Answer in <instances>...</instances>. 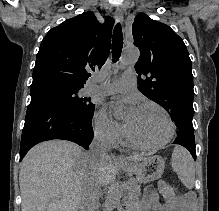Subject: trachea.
<instances>
[{
	"mask_svg": "<svg viewBox=\"0 0 219 211\" xmlns=\"http://www.w3.org/2000/svg\"><path fill=\"white\" fill-rule=\"evenodd\" d=\"M122 48H123L122 26L120 23H117L113 31V39H112V56H113L112 61L114 63H116V61L119 60L122 52Z\"/></svg>",
	"mask_w": 219,
	"mask_h": 211,
	"instance_id": "trachea-1",
	"label": "trachea"
}]
</instances>
